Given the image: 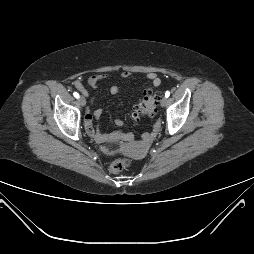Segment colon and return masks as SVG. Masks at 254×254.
I'll list each match as a JSON object with an SVG mask.
<instances>
[{"label":"colon","instance_id":"obj_1","mask_svg":"<svg viewBox=\"0 0 254 254\" xmlns=\"http://www.w3.org/2000/svg\"><path fill=\"white\" fill-rule=\"evenodd\" d=\"M157 112V96L151 89L146 90L144 98L138 103L134 110V117L139 119L145 116H153ZM131 166L128 158H117L113 160L110 169L114 173L127 170Z\"/></svg>","mask_w":254,"mask_h":254}]
</instances>
